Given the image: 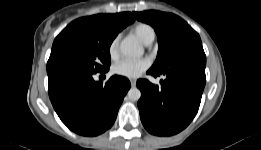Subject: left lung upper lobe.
I'll list each match as a JSON object with an SVG mask.
<instances>
[{"label":"left lung upper lobe","mask_w":261,"mask_h":150,"mask_svg":"<svg viewBox=\"0 0 261 150\" xmlns=\"http://www.w3.org/2000/svg\"><path fill=\"white\" fill-rule=\"evenodd\" d=\"M142 22L150 24L158 37L159 50L151 69H163L181 53L188 50H203L198 33L183 19L155 10L133 12Z\"/></svg>","instance_id":"5c2ea615"}]
</instances>
